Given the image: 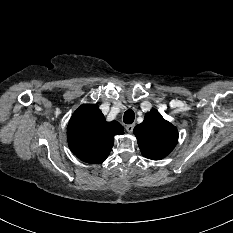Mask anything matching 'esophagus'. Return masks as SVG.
<instances>
[{"label":"esophagus","mask_w":233,"mask_h":233,"mask_svg":"<svg viewBox=\"0 0 233 233\" xmlns=\"http://www.w3.org/2000/svg\"><path fill=\"white\" fill-rule=\"evenodd\" d=\"M134 124H129V125H127L125 128H126V131L128 132V133H132V131H133V129H134Z\"/></svg>","instance_id":"1"}]
</instances>
